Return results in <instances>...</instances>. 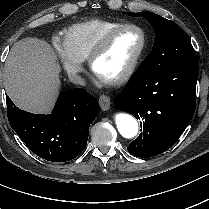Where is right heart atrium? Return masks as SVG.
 <instances>
[{
    "instance_id": "right-heart-atrium-1",
    "label": "right heart atrium",
    "mask_w": 209,
    "mask_h": 209,
    "mask_svg": "<svg viewBox=\"0 0 209 209\" xmlns=\"http://www.w3.org/2000/svg\"><path fill=\"white\" fill-rule=\"evenodd\" d=\"M53 42L57 57L65 72L73 77L77 76L82 70L81 61L70 53L63 41L54 38Z\"/></svg>"
}]
</instances>
